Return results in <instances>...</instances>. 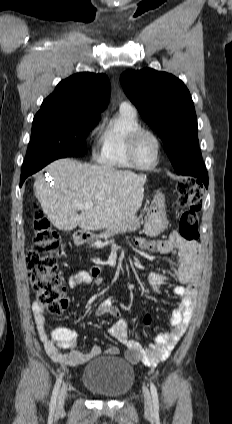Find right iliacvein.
<instances>
[{"label": "right iliac vein", "instance_id": "1", "mask_svg": "<svg viewBox=\"0 0 232 424\" xmlns=\"http://www.w3.org/2000/svg\"><path fill=\"white\" fill-rule=\"evenodd\" d=\"M67 391H68V388H67V385L65 384L62 386L59 393L58 402H57V411H61L63 409L64 401L67 396Z\"/></svg>", "mask_w": 232, "mask_h": 424}]
</instances>
